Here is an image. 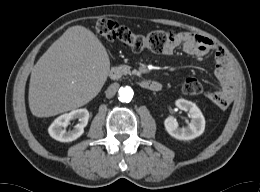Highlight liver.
Returning <instances> with one entry per match:
<instances>
[{"mask_svg": "<svg viewBox=\"0 0 260 192\" xmlns=\"http://www.w3.org/2000/svg\"><path fill=\"white\" fill-rule=\"evenodd\" d=\"M110 71L107 51L80 25L68 28L32 69L29 108L50 117L87 104L101 91Z\"/></svg>", "mask_w": 260, "mask_h": 192, "instance_id": "1", "label": "liver"}]
</instances>
